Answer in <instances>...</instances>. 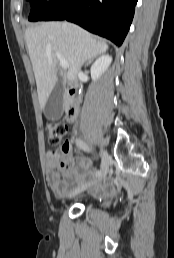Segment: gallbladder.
<instances>
[{"instance_id": "gallbladder-1", "label": "gallbladder", "mask_w": 174, "mask_h": 258, "mask_svg": "<svg viewBox=\"0 0 174 258\" xmlns=\"http://www.w3.org/2000/svg\"><path fill=\"white\" fill-rule=\"evenodd\" d=\"M64 112V87L59 80L53 88L44 107V115L48 120L55 121L62 117Z\"/></svg>"}]
</instances>
